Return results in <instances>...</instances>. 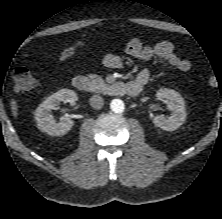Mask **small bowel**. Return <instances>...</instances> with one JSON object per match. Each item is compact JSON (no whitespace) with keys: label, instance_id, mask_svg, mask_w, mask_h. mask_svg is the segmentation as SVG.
<instances>
[{"label":"small bowel","instance_id":"obj_1","mask_svg":"<svg viewBox=\"0 0 222 219\" xmlns=\"http://www.w3.org/2000/svg\"><path fill=\"white\" fill-rule=\"evenodd\" d=\"M83 45V42H77L64 49L60 54V60L66 61L70 59L75 54L76 50ZM126 51L131 56L146 61L158 57L182 72H188L192 67L191 62L181 58L177 54L173 44L166 40L157 42L153 45H144L140 39L133 38L127 43ZM103 63L105 66L113 69H120L123 67L122 59L113 53L106 54L103 58ZM134 82L144 85L147 82V75L145 73L138 75Z\"/></svg>","mask_w":222,"mask_h":219}]
</instances>
